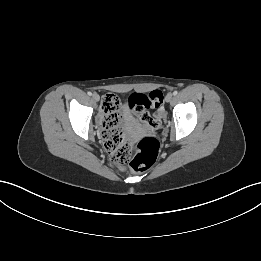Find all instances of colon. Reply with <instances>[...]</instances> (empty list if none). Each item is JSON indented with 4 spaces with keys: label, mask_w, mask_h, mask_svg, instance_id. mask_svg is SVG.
Listing matches in <instances>:
<instances>
[{
    "label": "colon",
    "mask_w": 261,
    "mask_h": 261,
    "mask_svg": "<svg viewBox=\"0 0 261 261\" xmlns=\"http://www.w3.org/2000/svg\"><path fill=\"white\" fill-rule=\"evenodd\" d=\"M162 92L151 91L148 94L128 93L125 102L130 105L131 113L146 126L158 129L163 120L164 108L161 106ZM153 107V108H152ZM152 108V115L149 110ZM104 147L114 166L123 169L128 165L135 172L149 169L159 153V142L156 138L145 137L137 142L126 138L122 128L120 102L114 94H107L102 100Z\"/></svg>",
    "instance_id": "5ec220e1"
}]
</instances>
